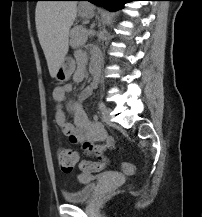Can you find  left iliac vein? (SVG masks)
I'll use <instances>...</instances> for the list:
<instances>
[{
	"mask_svg": "<svg viewBox=\"0 0 202 217\" xmlns=\"http://www.w3.org/2000/svg\"><path fill=\"white\" fill-rule=\"evenodd\" d=\"M110 113H111V109L110 108H106L103 111V115H102V119L105 123L110 124L111 123V118H110Z\"/></svg>",
	"mask_w": 202,
	"mask_h": 217,
	"instance_id": "left-iliac-vein-1",
	"label": "left iliac vein"
}]
</instances>
